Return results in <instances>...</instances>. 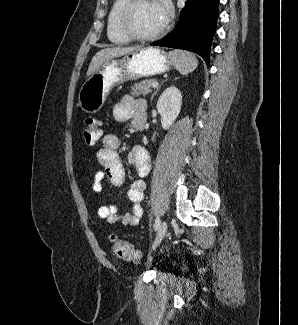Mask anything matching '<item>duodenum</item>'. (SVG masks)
I'll return each mask as SVG.
<instances>
[{"instance_id":"1","label":"duodenum","mask_w":298,"mask_h":325,"mask_svg":"<svg viewBox=\"0 0 298 325\" xmlns=\"http://www.w3.org/2000/svg\"><path fill=\"white\" fill-rule=\"evenodd\" d=\"M135 127L142 130L146 123L147 118V104L145 102H138L133 112Z\"/></svg>"}]
</instances>
